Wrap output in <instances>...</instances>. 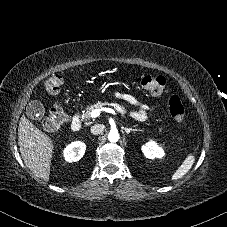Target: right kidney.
Wrapping results in <instances>:
<instances>
[{"instance_id":"1","label":"right kidney","mask_w":227,"mask_h":227,"mask_svg":"<svg viewBox=\"0 0 227 227\" xmlns=\"http://www.w3.org/2000/svg\"><path fill=\"white\" fill-rule=\"evenodd\" d=\"M85 150V143L80 141L72 142L64 149L63 156L67 162H76L83 157Z\"/></svg>"}]
</instances>
